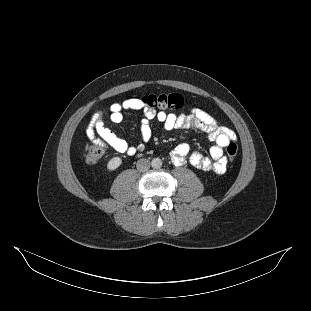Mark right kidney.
Returning a JSON list of instances; mask_svg holds the SVG:
<instances>
[{
    "label": "right kidney",
    "mask_w": 311,
    "mask_h": 311,
    "mask_svg": "<svg viewBox=\"0 0 311 311\" xmlns=\"http://www.w3.org/2000/svg\"><path fill=\"white\" fill-rule=\"evenodd\" d=\"M122 163V159L120 157H114L112 158L108 164H107V169L112 171L117 169Z\"/></svg>",
    "instance_id": "1"
}]
</instances>
